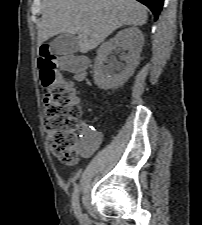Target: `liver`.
Returning <instances> with one entry per match:
<instances>
[{
	"instance_id": "1",
	"label": "liver",
	"mask_w": 202,
	"mask_h": 225,
	"mask_svg": "<svg viewBox=\"0 0 202 225\" xmlns=\"http://www.w3.org/2000/svg\"><path fill=\"white\" fill-rule=\"evenodd\" d=\"M38 45L58 34H77L81 53L96 48L113 31L142 26L148 16L136 0H43Z\"/></svg>"
}]
</instances>
